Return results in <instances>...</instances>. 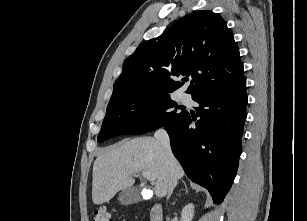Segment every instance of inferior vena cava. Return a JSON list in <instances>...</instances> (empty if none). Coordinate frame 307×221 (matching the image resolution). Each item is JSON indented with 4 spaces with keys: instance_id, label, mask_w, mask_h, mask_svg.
Instances as JSON below:
<instances>
[{
    "instance_id": "602c4592",
    "label": "inferior vena cava",
    "mask_w": 307,
    "mask_h": 221,
    "mask_svg": "<svg viewBox=\"0 0 307 221\" xmlns=\"http://www.w3.org/2000/svg\"><path fill=\"white\" fill-rule=\"evenodd\" d=\"M154 138L157 139L165 147L168 156L172 159L173 154H172V151H171L170 139H169L167 132L163 129H160V130L155 132ZM176 185H177V179H176L175 175L172 173L169 188H168L167 198L170 197V195H171V193H172V191H173V189L175 188Z\"/></svg>"
}]
</instances>
